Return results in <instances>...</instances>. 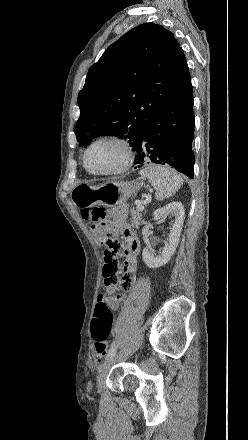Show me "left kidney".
I'll list each match as a JSON object with an SVG mask.
<instances>
[{
	"label": "left kidney",
	"mask_w": 248,
	"mask_h": 440,
	"mask_svg": "<svg viewBox=\"0 0 248 440\" xmlns=\"http://www.w3.org/2000/svg\"><path fill=\"white\" fill-rule=\"evenodd\" d=\"M167 214H170L174 217V223L172 224L168 241L163 247L162 252L159 255H156L152 250L143 249V261L149 268H158L168 263L176 251V247L178 246L185 215V210L182 203L175 201L169 203L163 208L157 209L153 213L154 220H159Z\"/></svg>",
	"instance_id": "1"
}]
</instances>
